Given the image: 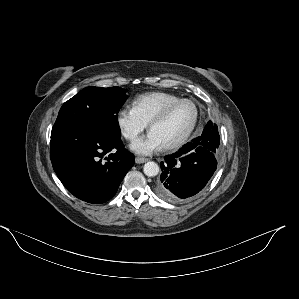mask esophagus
<instances>
[{"label":"esophagus","mask_w":299,"mask_h":299,"mask_svg":"<svg viewBox=\"0 0 299 299\" xmlns=\"http://www.w3.org/2000/svg\"><path fill=\"white\" fill-rule=\"evenodd\" d=\"M149 159L148 158H145V157H136L135 158V162L137 163V164H141V163H145V162H147Z\"/></svg>","instance_id":"1"}]
</instances>
